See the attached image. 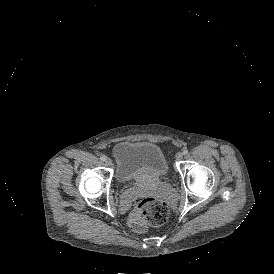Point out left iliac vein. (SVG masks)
I'll return each instance as SVG.
<instances>
[{
	"label": "left iliac vein",
	"mask_w": 274,
	"mask_h": 274,
	"mask_svg": "<svg viewBox=\"0 0 274 274\" xmlns=\"http://www.w3.org/2000/svg\"><path fill=\"white\" fill-rule=\"evenodd\" d=\"M183 159V153L178 152L175 156L176 161H181Z\"/></svg>",
	"instance_id": "4c4485c4"
}]
</instances>
